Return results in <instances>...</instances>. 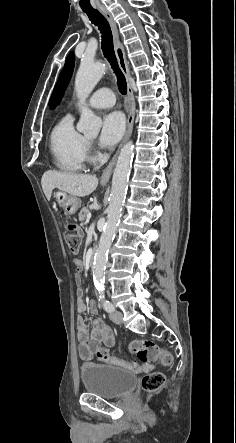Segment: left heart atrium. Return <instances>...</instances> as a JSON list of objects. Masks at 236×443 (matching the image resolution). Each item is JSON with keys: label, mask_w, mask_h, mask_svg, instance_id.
I'll return each instance as SVG.
<instances>
[{"label": "left heart atrium", "mask_w": 236, "mask_h": 443, "mask_svg": "<svg viewBox=\"0 0 236 443\" xmlns=\"http://www.w3.org/2000/svg\"><path fill=\"white\" fill-rule=\"evenodd\" d=\"M125 130V119L121 112L107 113L101 124L99 143L102 147L115 145L122 137Z\"/></svg>", "instance_id": "1"}]
</instances>
